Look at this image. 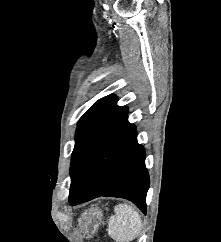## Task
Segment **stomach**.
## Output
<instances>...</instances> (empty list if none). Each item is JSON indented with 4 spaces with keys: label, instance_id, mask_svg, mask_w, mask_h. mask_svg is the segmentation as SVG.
<instances>
[{
    "label": "stomach",
    "instance_id": "0dacf381",
    "mask_svg": "<svg viewBox=\"0 0 221 242\" xmlns=\"http://www.w3.org/2000/svg\"><path fill=\"white\" fill-rule=\"evenodd\" d=\"M102 211L98 208H90L83 212L78 219V225L87 237L93 236L102 222Z\"/></svg>",
    "mask_w": 221,
    "mask_h": 242
}]
</instances>
